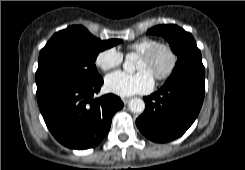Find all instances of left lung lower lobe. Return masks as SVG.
<instances>
[{
  "label": "left lung lower lobe",
  "mask_w": 245,
  "mask_h": 170,
  "mask_svg": "<svg viewBox=\"0 0 245 170\" xmlns=\"http://www.w3.org/2000/svg\"><path fill=\"white\" fill-rule=\"evenodd\" d=\"M204 94V78L185 76L166 82L160 90L144 97L145 111L136 125L153 142L172 141L195 121Z\"/></svg>",
  "instance_id": "1"
}]
</instances>
